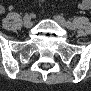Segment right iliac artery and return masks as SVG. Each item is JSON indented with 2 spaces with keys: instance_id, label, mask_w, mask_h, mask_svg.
<instances>
[{
  "instance_id": "82829eb1",
  "label": "right iliac artery",
  "mask_w": 91,
  "mask_h": 91,
  "mask_svg": "<svg viewBox=\"0 0 91 91\" xmlns=\"http://www.w3.org/2000/svg\"><path fill=\"white\" fill-rule=\"evenodd\" d=\"M25 17H29V15H26ZM25 17H24V18H25Z\"/></svg>"
}]
</instances>
